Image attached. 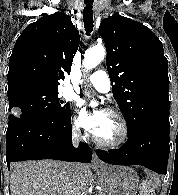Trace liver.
Masks as SVG:
<instances>
[{"instance_id":"1","label":"liver","mask_w":178,"mask_h":195,"mask_svg":"<svg viewBox=\"0 0 178 195\" xmlns=\"http://www.w3.org/2000/svg\"><path fill=\"white\" fill-rule=\"evenodd\" d=\"M71 166L55 160L12 163L11 195H81L92 184L93 174L79 164V173L73 176Z\"/></svg>"}]
</instances>
